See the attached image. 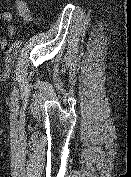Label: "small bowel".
I'll return each instance as SVG.
<instances>
[{"instance_id": "obj_1", "label": "small bowel", "mask_w": 131, "mask_h": 177, "mask_svg": "<svg viewBox=\"0 0 131 177\" xmlns=\"http://www.w3.org/2000/svg\"><path fill=\"white\" fill-rule=\"evenodd\" d=\"M15 7H16L17 13L19 14V16L23 20H25L26 22H32L33 15L30 12V9L28 7V4H27L26 0H15ZM12 18H13L12 12L4 11L2 13V19L4 21L9 22V21L12 20ZM7 29H8V32H9L10 35H14L15 32H16L15 28L12 25L8 26ZM2 44H3V48H5L6 42L3 41Z\"/></svg>"}]
</instances>
